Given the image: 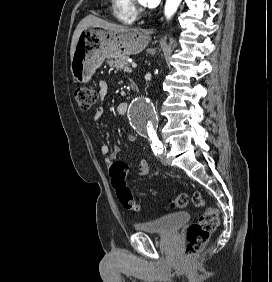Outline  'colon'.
Masks as SVG:
<instances>
[{"mask_svg": "<svg viewBox=\"0 0 272 282\" xmlns=\"http://www.w3.org/2000/svg\"><path fill=\"white\" fill-rule=\"evenodd\" d=\"M74 97L82 110L92 109L98 101L96 91L88 87H78L75 90ZM124 171L125 168L120 162L112 166V174L115 176L114 186L118 200L128 211L139 212L140 205L123 181ZM192 201L196 207L202 209V213L199 215L197 221L188 229L187 245L184 253L186 261H192L200 253L210 238L211 233L219 224L218 211L208 204L199 192L193 194ZM187 203L188 195L182 193L174 198L172 207L174 209H182L186 207Z\"/></svg>", "mask_w": 272, "mask_h": 282, "instance_id": "colon-1", "label": "colon"}]
</instances>
